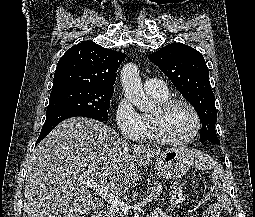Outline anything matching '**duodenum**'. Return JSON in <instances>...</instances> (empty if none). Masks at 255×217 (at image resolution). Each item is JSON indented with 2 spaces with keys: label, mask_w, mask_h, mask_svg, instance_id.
I'll return each instance as SVG.
<instances>
[{
  "label": "duodenum",
  "mask_w": 255,
  "mask_h": 217,
  "mask_svg": "<svg viewBox=\"0 0 255 217\" xmlns=\"http://www.w3.org/2000/svg\"><path fill=\"white\" fill-rule=\"evenodd\" d=\"M91 217H105V213L103 210H99V211L92 213Z\"/></svg>",
  "instance_id": "duodenum-1"
}]
</instances>
